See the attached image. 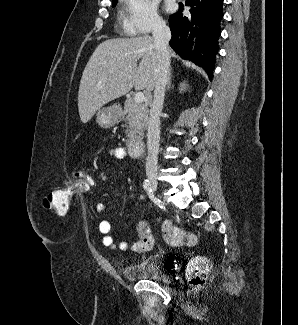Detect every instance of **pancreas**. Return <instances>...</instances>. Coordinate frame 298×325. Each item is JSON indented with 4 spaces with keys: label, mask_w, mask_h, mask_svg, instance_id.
<instances>
[{
    "label": "pancreas",
    "mask_w": 298,
    "mask_h": 325,
    "mask_svg": "<svg viewBox=\"0 0 298 325\" xmlns=\"http://www.w3.org/2000/svg\"><path fill=\"white\" fill-rule=\"evenodd\" d=\"M149 108L143 102H135L134 98H128L124 102V110L122 112L121 120L127 122L125 134L126 144L134 142L136 138H142L144 128L148 124Z\"/></svg>",
    "instance_id": "obj_1"
}]
</instances>
